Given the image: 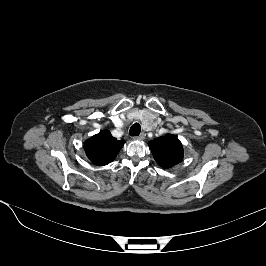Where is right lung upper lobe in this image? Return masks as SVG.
Listing matches in <instances>:
<instances>
[{
    "instance_id": "1",
    "label": "right lung upper lobe",
    "mask_w": 266,
    "mask_h": 266,
    "mask_svg": "<svg viewBox=\"0 0 266 266\" xmlns=\"http://www.w3.org/2000/svg\"><path fill=\"white\" fill-rule=\"evenodd\" d=\"M125 141L117 140L108 130L92 136L84 144L88 159L95 165L103 166L112 162Z\"/></svg>"
}]
</instances>
